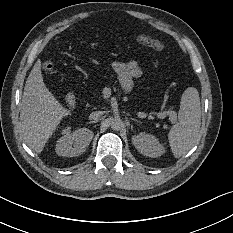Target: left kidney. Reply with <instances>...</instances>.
Returning <instances> with one entry per match:
<instances>
[{
    "mask_svg": "<svg viewBox=\"0 0 233 233\" xmlns=\"http://www.w3.org/2000/svg\"><path fill=\"white\" fill-rule=\"evenodd\" d=\"M132 143L144 156L157 158L165 153V147L159 143L158 139L151 134H146L145 132L132 136Z\"/></svg>",
    "mask_w": 233,
    "mask_h": 233,
    "instance_id": "1",
    "label": "left kidney"
}]
</instances>
